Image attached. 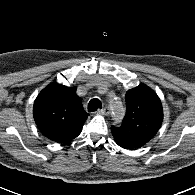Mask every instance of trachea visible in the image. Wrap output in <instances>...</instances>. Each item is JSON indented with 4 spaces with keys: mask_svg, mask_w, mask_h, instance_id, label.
<instances>
[{
    "mask_svg": "<svg viewBox=\"0 0 195 195\" xmlns=\"http://www.w3.org/2000/svg\"><path fill=\"white\" fill-rule=\"evenodd\" d=\"M97 108H102L101 102L98 99H92L90 100L88 104V110L89 111H95Z\"/></svg>",
    "mask_w": 195,
    "mask_h": 195,
    "instance_id": "1",
    "label": "trachea"
}]
</instances>
